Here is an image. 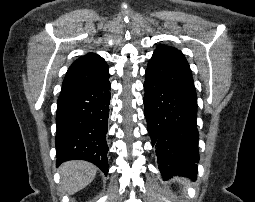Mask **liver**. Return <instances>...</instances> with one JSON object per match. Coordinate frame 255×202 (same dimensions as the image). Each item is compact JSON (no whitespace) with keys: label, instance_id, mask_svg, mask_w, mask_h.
<instances>
[{"label":"liver","instance_id":"liver-1","mask_svg":"<svg viewBox=\"0 0 255 202\" xmlns=\"http://www.w3.org/2000/svg\"><path fill=\"white\" fill-rule=\"evenodd\" d=\"M97 168L86 161H68L60 166L62 185L69 195L82 190L95 178Z\"/></svg>","mask_w":255,"mask_h":202}]
</instances>
